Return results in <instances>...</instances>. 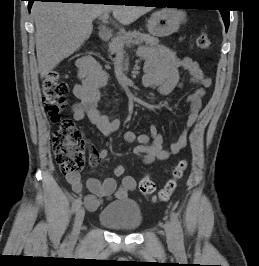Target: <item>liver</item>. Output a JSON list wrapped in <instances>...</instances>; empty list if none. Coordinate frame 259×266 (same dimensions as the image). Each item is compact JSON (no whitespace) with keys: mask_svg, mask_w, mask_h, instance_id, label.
<instances>
[{"mask_svg":"<svg viewBox=\"0 0 259 266\" xmlns=\"http://www.w3.org/2000/svg\"><path fill=\"white\" fill-rule=\"evenodd\" d=\"M150 10L145 6L35 2L32 15L41 78L84 44L98 16L112 11L119 23L129 25Z\"/></svg>","mask_w":259,"mask_h":266,"instance_id":"6515ba94","label":"liver"}]
</instances>
